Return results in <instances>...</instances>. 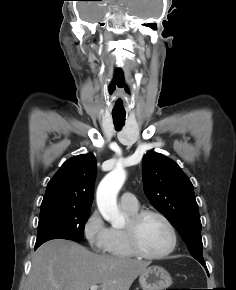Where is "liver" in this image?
I'll list each match as a JSON object with an SVG mask.
<instances>
[{
    "mask_svg": "<svg viewBox=\"0 0 236 290\" xmlns=\"http://www.w3.org/2000/svg\"><path fill=\"white\" fill-rule=\"evenodd\" d=\"M149 262L99 255L68 240L54 239L34 253L27 290H129Z\"/></svg>",
    "mask_w": 236,
    "mask_h": 290,
    "instance_id": "liver-1",
    "label": "liver"
}]
</instances>
